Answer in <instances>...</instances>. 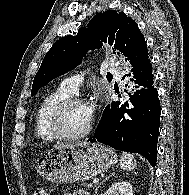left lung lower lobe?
I'll return each instance as SVG.
<instances>
[{
    "label": "left lung lower lobe",
    "instance_id": "left-lung-lower-lobe-1",
    "mask_svg": "<svg viewBox=\"0 0 189 195\" xmlns=\"http://www.w3.org/2000/svg\"><path fill=\"white\" fill-rule=\"evenodd\" d=\"M133 82L127 101L107 105L88 142H101L117 150L138 153L154 167L160 123V101L150 59L131 68Z\"/></svg>",
    "mask_w": 189,
    "mask_h": 195
}]
</instances>
